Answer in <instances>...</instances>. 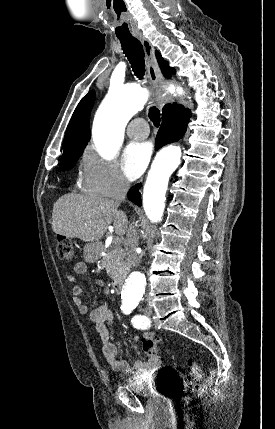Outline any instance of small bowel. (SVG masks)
Here are the masks:
<instances>
[{"label":"small bowel","instance_id":"small-bowel-1","mask_svg":"<svg viewBox=\"0 0 275 429\" xmlns=\"http://www.w3.org/2000/svg\"><path fill=\"white\" fill-rule=\"evenodd\" d=\"M87 266L85 263L80 262L74 266V273L68 276L70 283H75L77 278L76 274H82L86 271ZM73 303L78 309V312L85 315L89 312L88 306L83 299V290L79 285H74L72 288ZM90 321L94 324L97 332L103 343V354L114 371L120 372L128 378H138L148 372L157 369V362L149 359L146 361H134L129 363L128 361L118 357V346L110 338V325L112 323V312L106 304H102L99 307L92 310L89 314ZM134 340L138 339L134 337ZM155 341L150 333H146L142 339V343L146 341Z\"/></svg>","mask_w":275,"mask_h":429}]
</instances>
